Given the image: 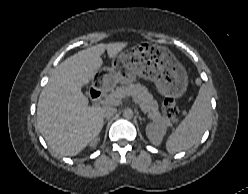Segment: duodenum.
<instances>
[{
  "instance_id": "1",
  "label": "duodenum",
  "mask_w": 248,
  "mask_h": 194,
  "mask_svg": "<svg viewBox=\"0 0 248 194\" xmlns=\"http://www.w3.org/2000/svg\"><path fill=\"white\" fill-rule=\"evenodd\" d=\"M104 87L102 85H94L89 90L90 100L97 103L103 97Z\"/></svg>"
}]
</instances>
